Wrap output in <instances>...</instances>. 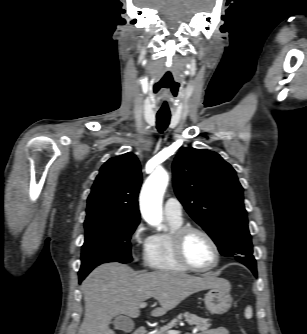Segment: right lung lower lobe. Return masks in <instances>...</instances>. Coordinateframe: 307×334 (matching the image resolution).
I'll return each instance as SVG.
<instances>
[{"mask_svg": "<svg viewBox=\"0 0 307 334\" xmlns=\"http://www.w3.org/2000/svg\"><path fill=\"white\" fill-rule=\"evenodd\" d=\"M84 278H85V277H80V276H79V280H80V282H81Z\"/></svg>", "mask_w": 307, "mask_h": 334, "instance_id": "98d812e1", "label": "right lung lower lobe"}]
</instances>
